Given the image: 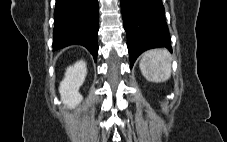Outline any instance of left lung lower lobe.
<instances>
[{
  "label": "left lung lower lobe",
  "instance_id": "0a47b994",
  "mask_svg": "<svg viewBox=\"0 0 227 142\" xmlns=\"http://www.w3.org/2000/svg\"><path fill=\"white\" fill-rule=\"evenodd\" d=\"M121 11L131 66L148 49L172 50L161 0H121Z\"/></svg>",
  "mask_w": 227,
  "mask_h": 142
}]
</instances>
